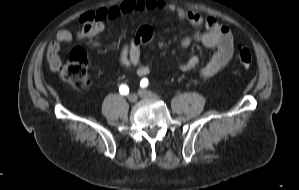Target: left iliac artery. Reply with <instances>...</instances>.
Wrapping results in <instances>:
<instances>
[{"instance_id":"left-iliac-artery-1","label":"left iliac artery","mask_w":299,"mask_h":190,"mask_svg":"<svg viewBox=\"0 0 299 190\" xmlns=\"http://www.w3.org/2000/svg\"><path fill=\"white\" fill-rule=\"evenodd\" d=\"M148 79L147 78H143L142 80H141V82H140V86L142 87V88H146L147 86H148Z\"/></svg>"}]
</instances>
